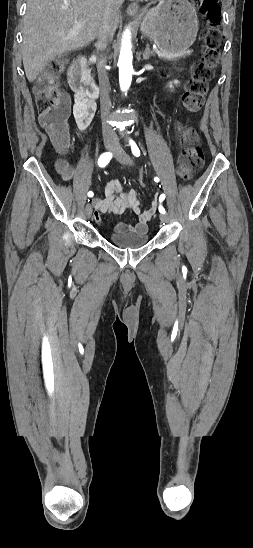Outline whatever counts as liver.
I'll return each instance as SVG.
<instances>
[{
  "mask_svg": "<svg viewBox=\"0 0 253 548\" xmlns=\"http://www.w3.org/2000/svg\"><path fill=\"white\" fill-rule=\"evenodd\" d=\"M104 14L105 0H27L22 59L28 81L33 82L56 57L93 42ZM120 19L118 9L115 30Z\"/></svg>",
  "mask_w": 253,
  "mask_h": 548,
  "instance_id": "6515ba94",
  "label": "liver"
}]
</instances>
